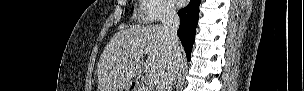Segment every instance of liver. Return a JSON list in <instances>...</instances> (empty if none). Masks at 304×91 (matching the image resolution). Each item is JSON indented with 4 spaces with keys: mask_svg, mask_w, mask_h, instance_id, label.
<instances>
[{
    "mask_svg": "<svg viewBox=\"0 0 304 91\" xmlns=\"http://www.w3.org/2000/svg\"><path fill=\"white\" fill-rule=\"evenodd\" d=\"M180 60H183V48ZM168 45L161 25L121 28L106 45L98 66V91H121L123 87L144 72L156 78L169 62ZM126 58V61L122 59ZM146 58V60H144Z\"/></svg>",
    "mask_w": 304,
    "mask_h": 91,
    "instance_id": "6515ba94",
    "label": "liver"
}]
</instances>
